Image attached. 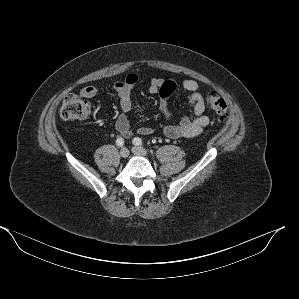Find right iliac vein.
I'll use <instances>...</instances> for the list:
<instances>
[{
	"mask_svg": "<svg viewBox=\"0 0 299 299\" xmlns=\"http://www.w3.org/2000/svg\"><path fill=\"white\" fill-rule=\"evenodd\" d=\"M120 156L122 158H127L129 156V150L127 148H122L120 150Z\"/></svg>",
	"mask_w": 299,
	"mask_h": 299,
	"instance_id": "1",
	"label": "right iliac vein"
}]
</instances>
